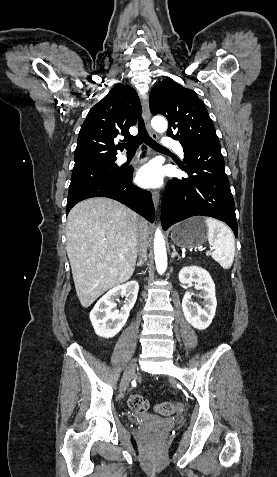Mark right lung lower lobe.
<instances>
[{
	"label": "right lung lower lobe",
	"mask_w": 277,
	"mask_h": 477,
	"mask_svg": "<svg viewBox=\"0 0 277 477\" xmlns=\"http://www.w3.org/2000/svg\"><path fill=\"white\" fill-rule=\"evenodd\" d=\"M132 169L125 170L123 177H109L89 182L68 194L66 214L78 202L92 197H108L128 206L151 223L155 212L150 192L141 190L132 183Z\"/></svg>",
	"instance_id": "1"
}]
</instances>
